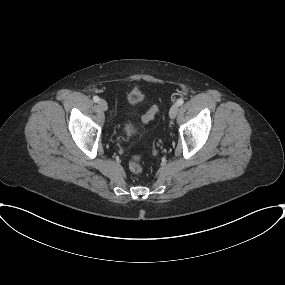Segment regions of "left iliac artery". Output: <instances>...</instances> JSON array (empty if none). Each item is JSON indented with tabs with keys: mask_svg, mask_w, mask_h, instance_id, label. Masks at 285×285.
Instances as JSON below:
<instances>
[{
	"mask_svg": "<svg viewBox=\"0 0 285 285\" xmlns=\"http://www.w3.org/2000/svg\"><path fill=\"white\" fill-rule=\"evenodd\" d=\"M176 103H177L178 106H181L184 103V100L182 98H180V99L177 100Z\"/></svg>",
	"mask_w": 285,
	"mask_h": 285,
	"instance_id": "obj_1",
	"label": "left iliac artery"
}]
</instances>
